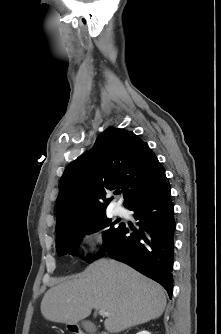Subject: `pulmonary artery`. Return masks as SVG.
Here are the masks:
<instances>
[{
	"instance_id": "pulmonary-artery-1",
	"label": "pulmonary artery",
	"mask_w": 221,
	"mask_h": 334,
	"mask_svg": "<svg viewBox=\"0 0 221 334\" xmlns=\"http://www.w3.org/2000/svg\"><path fill=\"white\" fill-rule=\"evenodd\" d=\"M113 212L115 215H118V216H122L125 214V210L119 205L114 206Z\"/></svg>"
}]
</instances>
